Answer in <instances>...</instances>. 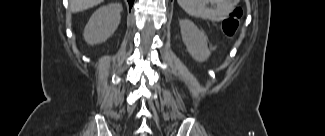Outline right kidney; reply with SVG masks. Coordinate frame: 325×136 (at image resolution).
Instances as JSON below:
<instances>
[{
  "label": "right kidney",
  "mask_w": 325,
  "mask_h": 136,
  "mask_svg": "<svg viewBox=\"0 0 325 136\" xmlns=\"http://www.w3.org/2000/svg\"><path fill=\"white\" fill-rule=\"evenodd\" d=\"M122 5L111 3L97 9L84 29V39L89 45L105 42L113 35L121 19Z\"/></svg>",
  "instance_id": "right-kidney-1"
}]
</instances>
